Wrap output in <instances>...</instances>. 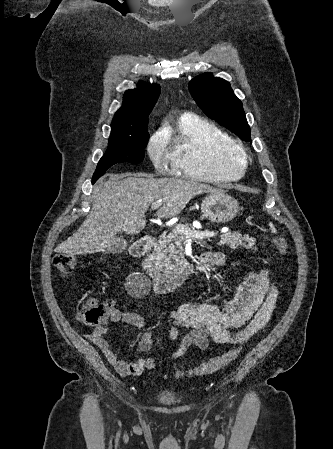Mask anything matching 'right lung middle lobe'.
<instances>
[{"label":"right lung middle lobe","mask_w":333,"mask_h":449,"mask_svg":"<svg viewBox=\"0 0 333 449\" xmlns=\"http://www.w3.org/2000/svg\"><path fill=\"white\" fill-rule=\"evenodd\" d=\"M146 121L141 133L135 137H110L105 155L100 159L92 180L100 178L106 170L116 163L138 164L144 159L149 133Z\"/></svg>","instance_id":"right-lung-middle-lobe-1"}]
</instances>
